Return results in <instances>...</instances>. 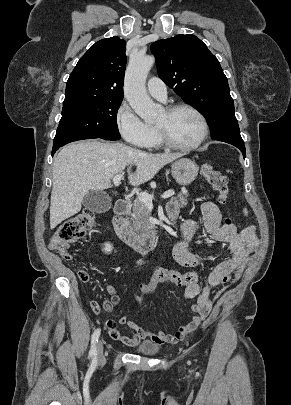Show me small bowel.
Returning a JSON list of instances; mask_svg holds the SVG:
<instances>
[{
  "label": "small bowel",
  "instance_id": "obj_1",
  "mask_svg": "<svg viewBox=\"0 0 291 405\" xmlns=\"http://www.w3.org/2000/svg\"><path fill=\"white\" fill-rule=\"evenodd\" d=\"M200 212L210 240L215 243H227L231 251V257L216 265L209 272L204 286L196 283L185 287L186 298H196V302L192 305V311L196 315L173 334L144 329L127 316H122L118 321L119 324L128 326L132 331V335L127 336L120 333L116 322L108 320L105 325L112 339L127 346H134L145 339L157 344H176L189 332L195 330L208 316L212 307V289L222 286L221 290L216 294V297H218L230 284L240 279L244 268L256 252L258 241L254 228L248 227L239 232L234 225H221L222 214L218 207L210 201L201 203ZM169 214L171 217H175L176 209L174 207L170 208ZM196 228L197 223L193 218L185 220L181 225L180 239L173 250L174 260L185 268L196 267L204 260H207V257H200L188 249ZM107 291L110 298L104 302L103 308L107 312H112L118 306L120 298L112 286H108ZM91 308L95 314L100 311L96 302H91Z\"/></svg>",
  "mask_w": 291,
  "mask_h": 405
}]
</instances>
